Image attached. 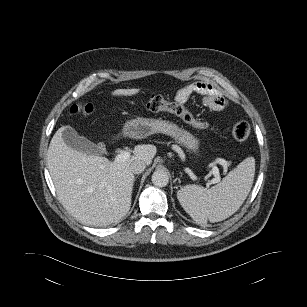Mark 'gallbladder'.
Returning a JSON list of instances; mask_svg holds the SVG:
<instances>
[{
  "instance_id": "bac80fb5",
  "label": "gallbladder",
  "mask_w": 307,
  "mask_h": 307,
  "mask_svg": "<svg viewBox=\"0 0 307 307\" xmlns=\"http://www.w3.org/2000/svg\"><path fill=\"white\" fill-rule=\"evenodd\" d=\"M62 138L69 147L88 155H102L106 151L103 145H96L86 137L80 136L71 126L63 127Z\"/></svg>"
}]
</instances>
